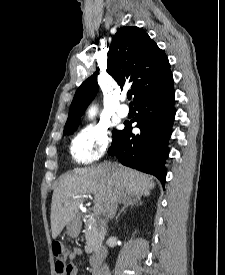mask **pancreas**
<instances>
[{
    "label": "pancreas",
    "mask_w": 225,
    "mask_h": 275,
    "mask_svg": "<svg viewBox=\"0 0 225 275\" xmlns=\"http://www.w3.org/2000/svg\"><path fill=\"white\" fill-rule=\"evenodd\" d=\"M85 228H86V246H85V251L86 253H92L100 240V229L98 226V223L95 219H89L85 223Z\"/></svg>",
    "instance_id": "obj_1"
}]
</instances>
